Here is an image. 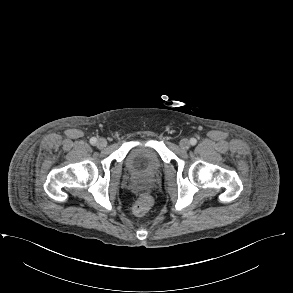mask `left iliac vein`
<instances>
[{"label": "left iliac vein", "mask_w": 293, "mask_h": 293, "mask_svg": "<svg viewBox=\"0 0 293 293\" xmlns=\"http://www.w3.org/2000/svg\"><path fill=\"white\" fill-rule=\"evenodd\" d=\"M181 149L187 150L190 147V141L186 138L182 139L179 143Z\"/></svg>", "instance_id": "obj_1"}]
</instances>
